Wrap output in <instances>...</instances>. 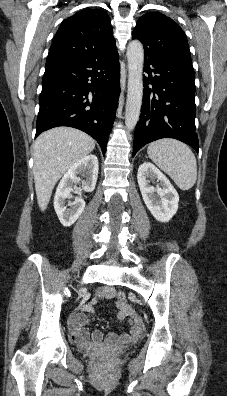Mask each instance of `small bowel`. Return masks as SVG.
<instances>
[{"instance_id": "small-bowel-1", "label": "small bowel", "mask_w": 227, "mask_h": 396, "mask_svg": "<svg viewBox=\"0 0 227 396\" xmlns=\"http://www.w3.org/2000/svg\"><path fill=\"white\" fill-rule=\"evenodd\" d=\"M119 292L113 287H104L100 289L94 298L83 305L82 313L73 315L69 320V326L72 331L73 339L75 342L82 346L96 348L99 347L104 341L107 344H117L120 342L128 343L136 340L142 334V328L140 326L138 318L135 316L132 308L127 304L124 299L118 298ZM117 298L116 306L119 309L118 318L120 320H127L130 325V332L124 334H109L104 340L103 334L100 330L92 331L89 336L88 331L85 329L87 324V316L94 310V304L101 299Z\"/></svg>"}]
</instances>
